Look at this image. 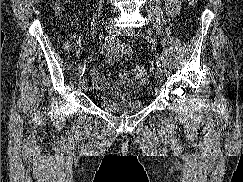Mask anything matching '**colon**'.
<instances>
[{
    "instance_id": "1",
    "label": "colon",
    "mask_w": 243,
    "mask_h": 182,
    "mask_svg": "<svg viewBox=\"0 0 243 182\" xmlns=\"http://www.w3.org/2000/svg\"><path fill=\"white\" fill-rule=\"evenodd\" d=\"M189 4L194 5L198 0H187ZM133 75L140 81H145L148 77V72L144 67H136L133 69Z\"/></svg>"
}]
</instances>
